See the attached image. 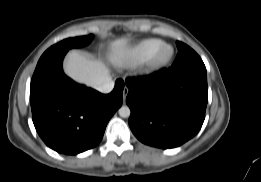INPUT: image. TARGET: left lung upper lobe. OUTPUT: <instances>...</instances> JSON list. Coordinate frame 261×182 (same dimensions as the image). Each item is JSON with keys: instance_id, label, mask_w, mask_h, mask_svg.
I'll return each instance as SVG.
<instances>
[{"instance_id": "obj_1", "label": "left lung upper lobe", "mask_w": 261, "mask_h": 182, "mask_svg": "<svg viewBox=\"0 0 261 182\" xmlns=\"http://www.w3.org/2000/svg\"><path fill=\"white\" fill-rule=\"evenodd\" d=\"M179 53L174 61L171 69H184L187 67H205L202 59L199 55L186 44L177 41L176 42Z\"/></svg>"}]
</instances>
